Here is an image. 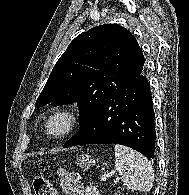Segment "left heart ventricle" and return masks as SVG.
<instances>
[{"label":"left heart ventricle","mask_w":189,"mask_h":195,"mask_svg":"<svg viewBox=\"0 0 189 195\" xmlns=\"http://www.w3.org/2000/svg\"><path fill=\"white\" fill-rule=\"evenodd\" d=\"M67 123L68 118L65 115H59L51 121L49 129L52 133L59 134L65 130Z\"/></svg>","instance_id":"1"}]
</instances>
